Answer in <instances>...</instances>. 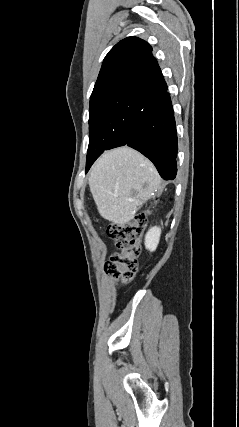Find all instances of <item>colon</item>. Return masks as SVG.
I'll return each instance as SVG.
<instances>
[{
    "label": "colon",
    "instance_id": "colon-1",
    "mask_svg": "<svg viewBox=\"0 0 239 427\" xmlns=\"http://www.w3.org/2000/svg\"><path fill=\"white\" fill-rule=\"evenodd\" d=\"M146 222V215L140 213L129 222L108 225L106 232L108 237L113 240L117 253L104 265L107 275L124 284L132 281L140 254L139 240Z\"/></svg>",
    "mask_w": 239,
    "mask_h": 427
}]
</instances>
